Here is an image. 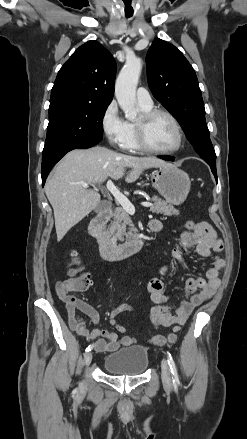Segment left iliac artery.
<instances>
[{"instance_id": "1", "label": "left iliac artery", "mask_w": 247, "mask_h": 439, "mask_svg": "<svg viewBox=\"0 0 247 439\" xmlns=\"http://www.w3.org/2000/svg\"><path fill=\"white\" fill-rule=\"evenodd\" d=\"M167 361H168V364H169V367H170V370H171V373H172V376H173V382L175 384H179V377H178L177 367H176V364H175V362H174V360H173V358H172L170 353H167Z\"/></svg>"}]
</instances>
